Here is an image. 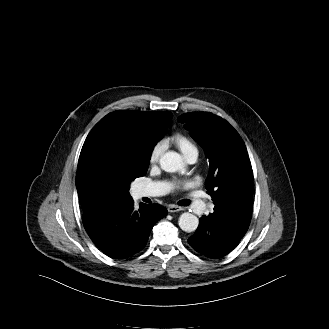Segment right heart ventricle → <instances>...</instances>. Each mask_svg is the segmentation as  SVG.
<instances>
[{
    "instance_id": "1",
    "label": "right heart ventricle",
    "mask_w": 329,
    "mask_h": 329,
    "mask_svg": "<svg viewBox=\"0 0 329 329\" xmlns=\"http://www.w3.org/2000/svg\"><path fill=\"white\" fill-rule=\"evenodd\" d=\"M170 141L182 152L187 158L194 152H198L196 145L185 135L176 133L170 137Z\"/></svg>"
}]
</instances>
